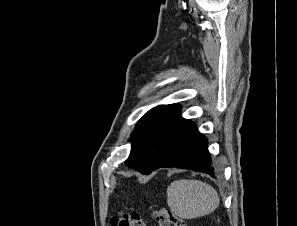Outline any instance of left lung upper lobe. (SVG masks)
I'll return each mask as SVG.
<instances>
[{
    "label": "left lung upper lobe",
    "instance_id": "obj_1",
    "mask_svg": "<svg viewBox=\"0 0 297 226\" xmlns=\"http://www.w3.org/2000/svg\"><path fill=\"white\" fill-rule=\"evenodd\" d=\"M186 120L177 104L160 105L149 110L131 135V152L125 164L149 174L172 144Z\"/></svg>",
    "mask_w": 297,
    "mask_h": 226
}]
</instances>
